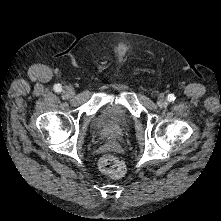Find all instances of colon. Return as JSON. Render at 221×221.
Returning <instances> with one entry per match:
<instances>
[{
  "mask_svg": "<svg viewBox=\"0 0 221 221\" xmlns=\"http://www.w3.org/2000/svg\"><path fill=\"white\" fill-rule=\"evenodd\" d=\"M99 169L112 177H121L125 172V164L114 155H104L98 162Z\"/></svg>",
  "mask_w": 221,
  "mask_h": 221,
  "instance_id": "colon-1",
  "label": "colon"
}]
</instances>
